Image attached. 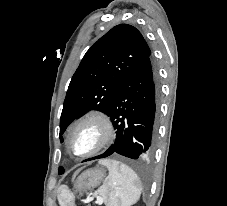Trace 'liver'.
Masks as SVG:
<instances>
[{"mask_svg":"<svg viewBox=\"0 0 227 206\" xmlns=\"http://www.w3.org/2000/svg\"><path fill=\"white\" fill-rule=\"evenodd\" d=\"M77 173H78V171L74 174V177L76 176Z\"/></svg>","mask_w":227,"mask_h":206,"instance_id":"6515ba94","label":"liver"}]
</instances>
